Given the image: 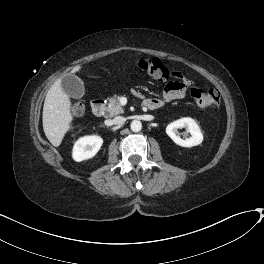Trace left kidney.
<instances>
[{
  "label": "left kidney",
  "instance_id": "left-kidney-1",
  "mask_svg": "<svg viewBox=\"0 0 264 264\" xmlns=\"http://www.w3.org/2000/svg\"><path fill=\"white\" fill-rule=\"evenodd\" d=\"M183 127L191 134L189 138L182 139L179 136L178 129ZM166 133L176 144L182 147L197 146L203 141V134L199 126L194 119L189 117H184L168 124Z\"/></svg>",
  "mask_w": 264,
  "mask_h": 264
}]
</instances>
